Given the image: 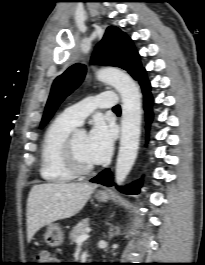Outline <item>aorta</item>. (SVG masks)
Instances as JSON below:
<instances>
[{
	"label": "aorta",
	"instance_id": "762f6f07",
	"mask_svg": "<svg viewBox=\"0 0 205 265\" xmlns=\"http://www.w3.org/2000/svg\"><path fill=\"white\" fill-rule=\"evenodd\" d=\"M99 81L113 86L122 99L121 139L115 168V181L121 185L130 173L139 148L142 103L137 83L125 72L111 67L100 69Z\"/></svg>",
	"mask_w": 205,
	"mask_h": 265
}]
</instances>
